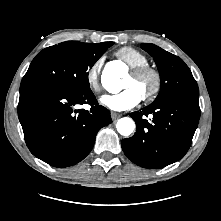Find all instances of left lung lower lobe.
Instances as JSON below:
<instances>
[{"mask_svg":"<svg viewBox=\"0 0 221 221\" xmlns=\"http://www.w3.org/2000/svg\"><path fill=\"white\" fill-rule=\"evenodd\" d=\"M149 114L151 121L146 119ZM129 116L136 123V133L122 140L125 155L143 168H162L187 153L200 117L199 98L176 96Z\"/></svg>","mask_w":221,"mask_h":221,"instance_id":"left-lung-lower-lobe-1","label":"left lung lower lobe"}]
</instances>
